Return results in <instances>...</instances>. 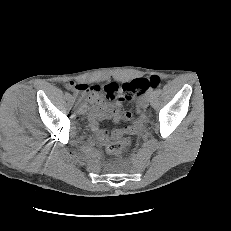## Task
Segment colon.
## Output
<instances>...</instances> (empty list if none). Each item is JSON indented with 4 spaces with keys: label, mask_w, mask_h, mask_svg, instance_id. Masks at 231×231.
I'll list each match as a JSON object with an SVG mask.
<instances>
[{
    "label": "colon",
    "mask_w": 231,
    "mask_h": 231,
    "mask_svg": "<svg viewBox=\"0 0 231 231\" xmlns=\"http://www.w3.org/2000/svg\"><path fill=\"white\" fill-rule=\"evenodd\" d=\"M161 79L158 76H152L149 79L137 78L130 82L124 83L121 86L112 87L111 95L122 97L125 100H131L134 97L140 96L145 93L149 88H159ZM131 144L129 137H121L106 146V151L111 155H119L123 153Z\"/></svg>",
    "instance_id": "obj_1"
}]
</instances>
